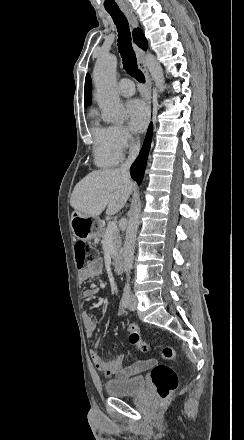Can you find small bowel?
I'll use <instances>...</instances> for the list:
<instances>
[{
	"label": "small bowel",
	"instance_id": "c3829d8e",
	"mask_svg": "<svg viewBox=\"0 0 244 440\" xmlns=\"http://www.w3.org/2000/svg\"><path fill=\"white\" fill-rule=\"evenodd\" d=\"M103 269V261L100 258H96L92 260L88 266L81 270L79 273V279L81 283H88L92 279L99 276ZM98 293V289L96 287H90L83 292V297L86 299L93 298ZM86 333L87 336H92L96 329L97 323L93 320V318L88 314L84 313L83 315ZM101 341L98 340L96 346H100ZM90 355L93 363L97 367V369L104 374L114 376L120 381H127L134 377L141 375L143 372L147 371L149 367L154 365L153 361H137L132 365L125 366V361L127 360V356L120 355L114 360L106 361L103 359L99 351L91 350Z\"/></svg>",
	"mask_w": 244,
	"mask_h": 440
}]
</instances>
